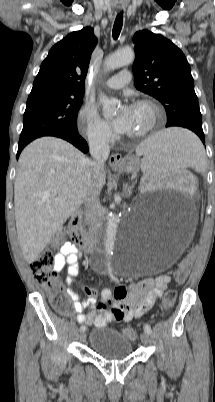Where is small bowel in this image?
<instances>
[{
	"label": "small bowel",
	"mask_w": 215,
	"mask_h": 402,
	"mask_svg": "<svg viewBox=\"0 0 215 402\" xmlns=\"http://www.w3.org/2000/svg\"><path fill=\"white\" fill-rule=\"evenodd\" d=\"M78 248L71 242H65L55 256V269L61 271L66 265L67 276L65 283L72 307L77 313V321L81 324L105 327L113 322H129L144 315L162 296L170 281V277L162 275L157 278H145L132 282L128 286H119L114 290L106 288L101 292L100 301H97V292L89 286H82L86 298L75 291L72 286L75 277L79 274ZM111 307L108 308L107 305ZM88 309V313L84 310Z\"/></svg>",
	"instance_id": "obj_1"
}]
</instances>
